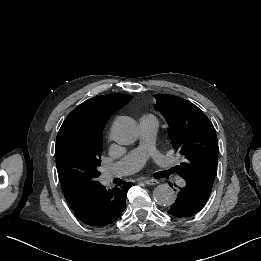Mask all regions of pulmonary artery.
Masks as SVG:
<instances>
[{"instance_id": "pulmonary-artery-1", "label": "pulmonary artery", "mask_w": 261, "mask_h": 261, "mask_svg": "<svg viewBox=\"0 0 261 261\" xmlns=\"http://www.w3.org/2000/svg\"><path fill=\"white\" fill-rule=\"evenodd\" d=\"M158 124L155 119L141 118L139 120L140 142L138 148L115 164L106 167L103 170V178L110 180L115 177H120L130 173L133 170H140L142 168V161L146 155L153 149L152 142L155 140Z\"/></svg>"}]
</instances>
